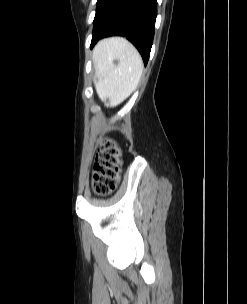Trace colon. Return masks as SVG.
<instances>
[{
	"instance_id": "1",
	"label": "colon",
	"mask_w": 247,
	"mask_h": 304,
	"mask_svg": "<svg viewBox=\"0 0 247 304\" xmlns=\"http://www.w3.org/2000/svg\"><path fill=\"white\" fill-rule=\"evenodd\" d=\"M121 151L113 140L100 144L93 169V187L98 194L113 191L121 173Z\"/></svg>"
}]
</instances>
